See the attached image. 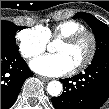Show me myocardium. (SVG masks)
<instances>
[{
  "label": "myocardium",
  "instance_id": "myocardium-1",
  "mask_svg": "<svg viewBox=\"0 0 109 109\" xmlns=\"http://www.w3.org/2000/svg\"><path fill=\"white\" fill-rule=\"evenodd\" d=\"M84 36H87L90 40V51H89V54L86 57V59L81 64L73 67L74 71L83 70L92 63V61L95 57V54H96V50H97L96 36L92 31H90L88 29H83V30H80V31H77V32L71 34L70 36L60 39L61 43L71 45V44L77 42L79 39H81Z\"/></svg>",
  "mask_w": 109,
  "mask_h": 109
}]
</instances>
